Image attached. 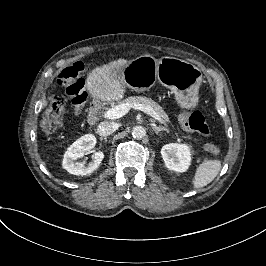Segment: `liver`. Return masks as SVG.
Segmentation results:
<instances>
[{
	"label": "liver",
	"mask_w": 266,
	"mask_h": 266,
	"mask_svg": "<svg viewBox=\"0 0 266 266\" xmlns=\"http://www.w3.org/2000/svg\"><path fill=\"white\" fill-rule=\"evenodd\" d=\"M128 64L125 59H118L101 67H96L87 76L86 88L94 98L102 101H120L125 88L117 77V73Z\"/></svg>",
	"instance_id": "liver-1"
}]
</instances>
